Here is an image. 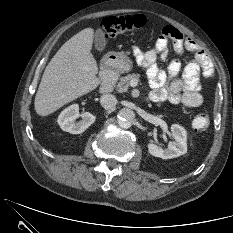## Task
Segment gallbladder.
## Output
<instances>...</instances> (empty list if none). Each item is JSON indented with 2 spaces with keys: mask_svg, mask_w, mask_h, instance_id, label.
<instances>
[{
  "mask_svg": "<svg viewBox=\"0 0 233 233\" xmlns=\"http://www.w3.org/2000/svg\"><path fill=\"white\" fill-rule=\"evenodd\" d=\"M107 40L105 38V33L102 29H98L94 37V47L97 51H103L106 47Z\"/></svg>",
  "mask_w": 233,
  "mask_h": 233,
  "instance_id": "obj_1",
  "label": "gallbladder"
}]
</instances>
